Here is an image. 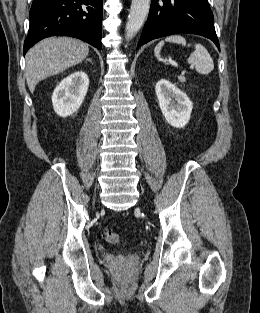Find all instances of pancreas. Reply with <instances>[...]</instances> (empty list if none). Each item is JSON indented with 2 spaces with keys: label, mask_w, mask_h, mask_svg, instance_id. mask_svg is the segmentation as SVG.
Wrapping results in <instances>:
<instances>
[{
  "label": "pancreas",
  "mask_w": 260,
  "mask_h": 313,
  "mask_svg": "<svg viewBox=\"0 0 260 313\" xmlns=\"http://www.w3.org/2000/svg\"><path fill=\"white\" fill-rule=\"evenodd\" d=\"M180 80H181L182 82H185L186 79H185V77H181Z\"/></svg>",
  "instance_id": "cf45deb5"
}]
</instances>
